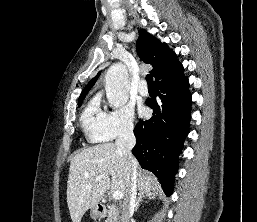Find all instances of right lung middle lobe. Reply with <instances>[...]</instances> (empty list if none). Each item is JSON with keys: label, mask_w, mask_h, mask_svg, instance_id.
<instances>
[{"label": "right lung middle lobe", "mask_w": 257, "mask_h": 222, "mask_svg": "<svg viewBox=\"0 0 257 222\" xmlns=\"http://www.w3.org/2000/svg\"><path fill=\"white\" fill-rule=\"evenodd\" d=\"M82 104V101H80L79 103H78V105L80 106Z\"/></svg>", "instance_id": "1"}]
</instances>
